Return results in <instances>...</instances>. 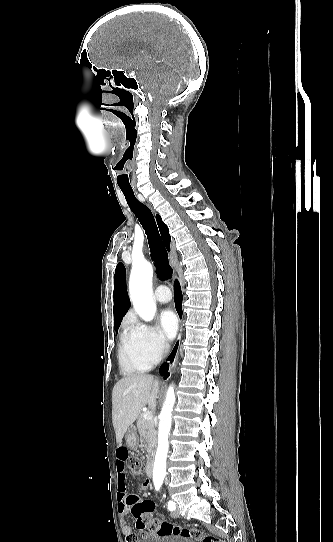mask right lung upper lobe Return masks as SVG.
<instances>
[{"label":"right lung upper lobe","mask_w":333,"mask_h":542,"mask_svg":"<svg viewBox=\"0 0 333 542\" xmlns=\"http://www.w3.org/2000/svg\"><path fill=\"white\" fill-rule=\"evenodd\" d=\"M157 224L163 239V242L170 250V240L167 225L162 221L159 215H156ZM130 307V300L126 290V271L122 263H119L115 269L114 279V327L120 326V323Z\"/></svg>","instance_id":"cb5924a9"}]
</instances>
